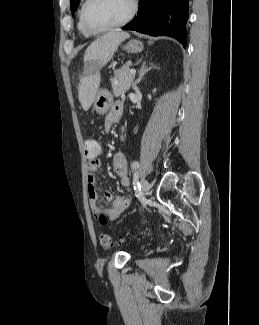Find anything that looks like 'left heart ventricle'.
<instances>
[{
    "label": "left heart ventricle",
    "instance_id": "obj_1",
    "mask_svg": "<svg viewBox=\"0 0 259 325\" xmlns=\"http://www.w3.org/2000/svg\"><path fill=\"white\" fill-rule=\"evenodd\" d=\"M131 0H95L87 18L94 27H104L122 20L130 11Z\"/></svg>",
    "mask_w": 259,
    "mask_h": 325
}]
</instances>
